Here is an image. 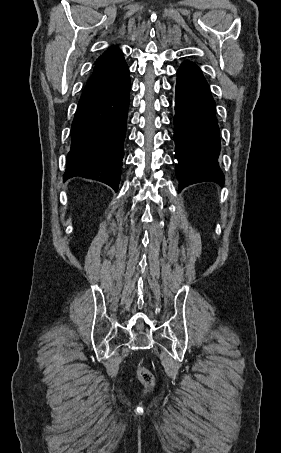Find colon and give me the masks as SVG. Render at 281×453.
Instances as JSON below:
<instances>
[{
    "label": "colon",
    "mask_w": 281,
    "mask_h": 453,
    "mask_svg": "<svg viewBox=\"0 0 281 453\" xmlns=\"http://www.w3.org/2000/svg\"><path fill=\"white\" fill-rule=\"evenodd\" d=\"M133 371L136 376L142 378V379H149L151 376V373L148 368H146L143 365H136L133 368Z\"/></svg>",
    "instance_id": "colon-1"
}]
</instances>
